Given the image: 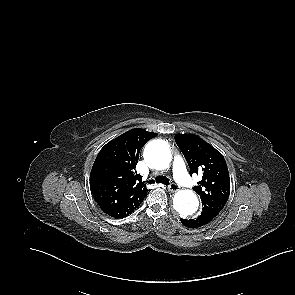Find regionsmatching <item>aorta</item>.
I'll use <instances>...</instances> for the list:
<instances>
[{
    "label": "aorta",
    "instance_id": "obj_1",
    "mask_svg": "<svg viewBox=\"0 0 295 295\" xmlns=\"http://www.w3.org/2000/svg\"><path fill=\"white\" fill-rule=\"evenodd\" d=\"M148 163L156 169H166L172 160L171 151L163 140H152L145 147ZM174 209L182 218H192L199 209V200L192 190L178 191L173 199Z\"/></svg>",
    "mask_w": 295,
    "mask_h": 295
}]
</instances>
